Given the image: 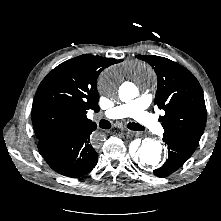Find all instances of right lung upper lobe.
<instances>
[{
  "label": "right lung upper lobe",
  "instance_id": "obj_1",
  "mask_svg": "<svg viewBox=\"0 0 221 221\" xmlns=\"http://www.w3.org/2000/svg\"><path fill=\"white\" fill-rule=\"evenodd\" d=\"M120 61L84 54L54 68L40 83L32 105L37 139L96 126L86 114L88 110H100L97 78L105 68Z\"/></svg>",
  "mask_w": 221,
  "mask_h": 221
}]
</instances>
